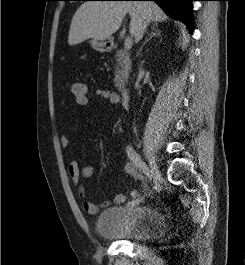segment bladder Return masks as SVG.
Here are the masks:
<instances>
[{
	"instance_id": "31cf9c89",
	"label": "bladder",
	"mask_w": 245,
	"mask_h": 265,
	"mask_svg": "<svg viewBox=\"0 0 245 265\" xmlns=\"http://www.w3.org/2000/svg\"><path fill=\"white\" fill-rule=\"evenodd\" d=\"M95 229L102 237L132 242L158 238L167 230L160 212L143 204L104 209L97 215Z\"/></svg>"
}]
</instances>
